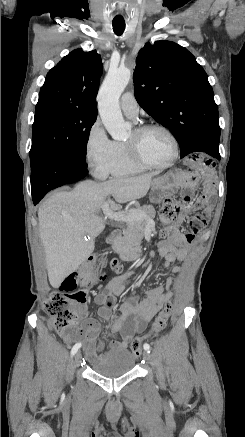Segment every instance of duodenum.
Listing matches in <instances>:
<instances>
[{
  "instance_id": "410a0bca",
  "label": "duodenum",
  "mask_w": 245,
  "mask_h": 437,
  "mask_svg": "<svg viewBox=\"0 0 245 437\" xmlns=\"http://www.w3.org/2000/svg\"><path fill=\"white\" fill-rule=\"evenodd\" d=\"M118 238V233L117 232H113L111 234V236L109 237V243L113 244ZM113 249H115L119 254L120 257L124 260H131V261H135L139 258L140 256V252L137 248L135 247H130V248H123V249H117L115 247H113ZM133 271L128 272L127 274H125L124 276H129Z\"/></svg>"
}]
</instances>
